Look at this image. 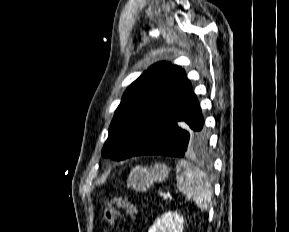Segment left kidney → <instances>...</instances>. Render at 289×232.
<instances>
[{"label": "left kidney", "instance_id": "left-kidney-1", "mask_svg": "<svg viewBox=\"0 0 289 232\" xmlns=\"http://www.w3.org/2000/svg\"><path fill=\"white\" fill-rule=\"evenodd\" d=\"M184 219L177 212H168L159 217L148 232H182Z\"/></svg>", "mask_w": 289, "mask_h": 232}]
</instances>
